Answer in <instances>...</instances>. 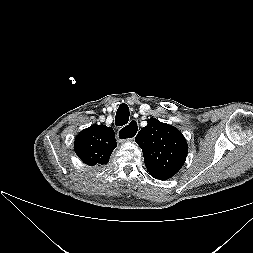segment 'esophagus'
Masks as SVG:
<instances>
[{
  "mask_svg": "<svg viewBox=\"0 0 253 253\" xmlns=\"http://www.w3.org/2000/svg\"><path fill=\"white\" fill-rule=\"evenodd\" d=\"M138 131L139 125L133 120L117 131V137L121 141L132 140L137 135Z\"/></svg>",
  "mask_w": 253,
  "mask_h": 253,
  "instance_id": "34e87169",
  "label": "esophagus"
}]
</instances>
